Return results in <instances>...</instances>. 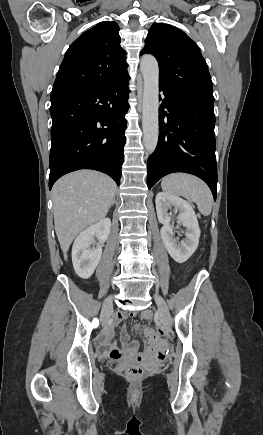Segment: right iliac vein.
<instances>
[{"instance_id":"obj_1","label":"right iliac vein","mask_w":263,"mask_h":435,"mask_svg":"<svg viewBox=\"0 0 263 435\" xmlns=\"http://www.w3.org/2000/svg\"><path fill=\"white\" fill-rule=\"evenodd\" d=\"M113 307V298L109 296L103 303L102 311H101V322L104 323L109 316L110 311Z\"/></svg>"}]
</instances>
